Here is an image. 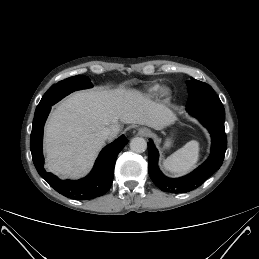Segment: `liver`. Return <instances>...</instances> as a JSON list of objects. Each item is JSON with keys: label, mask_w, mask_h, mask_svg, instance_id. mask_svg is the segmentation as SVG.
Instances as JSON below:
<instances>
[{"label": "liver", "mask_w": 259, "mask_h": 259, "mask_svg": "<svg viewBox=\"0 0 259 259\" xmlns=\"http://www.w3.org/2000/svg\"><path fill=\"white\" fill-rule=\"evenodd\" d=\"M176 119L161 103L137 90L91 89L71 95L50 115L44 133L46 164L62 178H78L93 165L105 140L97 134L108 127L110 140L125 124L162 129Z\"/></svg>", "instance_id": "liver-1"}]
</instances>
